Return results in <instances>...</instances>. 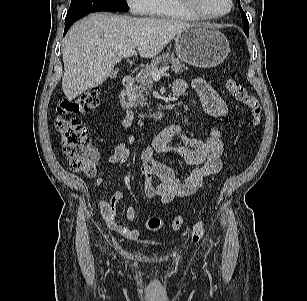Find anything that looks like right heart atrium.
I'll use <instances>...</instances> for the list:
<instances>
[{
  "label": "right heart atrium",
  "mask_w": 307,
  "mask_h": 301,
  "mask_svg": "<svg viewBox=\"0 0 307 301\" xmlns=\"http://www.w3.org/2000/svg\"><path fill=\"white\" fill-rule=\"evenodd\" d=\"M155 0H126L130 10L137 15H150L154 9Z\"/></svg>",
  "instance_id": "obj_1"
}]
</instances>
